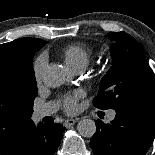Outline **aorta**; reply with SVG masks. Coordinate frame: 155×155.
<instances>
[{"label":"aorta","mask_w":155,"mask_h":155,"mask_svg":"<svg viewBox=\"0 0 155 155\" xmlns=\"http://www.w3.org/2000/svg\"><path fill=\"white\" fill-rule=\"evenodd\" d=\"M68 78L67 68L60 64L48 65L42 73V79L47 87L56 88L65 83ZM79 133L91 138L96 132V124L91 119H83L78 124Z\"/></svg>","instance_id":"aorta-1"}]
</instances>
